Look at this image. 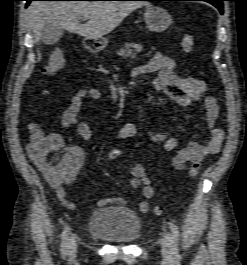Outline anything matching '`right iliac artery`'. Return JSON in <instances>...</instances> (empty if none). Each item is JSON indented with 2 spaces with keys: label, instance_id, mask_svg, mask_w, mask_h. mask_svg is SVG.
I'll return each mask as SVG.
<instances>
[{
  "label": "right iliac artery",
  "instance_id": "right-iliac-artery-1",
  "mask_svg": "<svg viewBox=\"0 0 247 265\" xmlns=\"http://www.w3.org/2000/svg\"><path fill=\"white\" fill-rule=\"evenodd\" d=\"M69 231H70L69 226H65L62 232L61 253L63 257H65L68 254Z\"/></svg>",
  "mask_w": 247,
  "mask_h": 265
}]
</instances>
